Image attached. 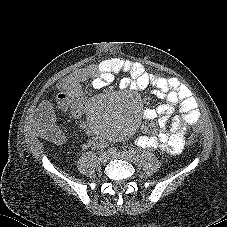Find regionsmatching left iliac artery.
Instances as JSON below:
<instances>
[{
	"mask_svg": "<svg viewBox=\"0 0 227 227\" xmlns=\"http://www.w3.org/2000/svg\"><path fill=\"white\" fill-rule=\"evenodd\" d=\"M129 154H131V155H134L135 154V152L133 151V150H129V151H127Z\"/></svg>",
	"mask_w": 227,
	"mask_h": 227,
	"instance_id": "obj_1",
	"label": "left iliac artery"
}]
</instances>
